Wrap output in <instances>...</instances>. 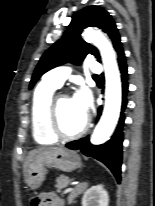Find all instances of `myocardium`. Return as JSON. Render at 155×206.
<instances>
[{
    "mask_svg": "<svg viewBox=\"0 0 155 206\" xmlns=\"http://www.w3.org/2000/svg\"><path fill=\"white\" fill-rule=\"evenodd\" d=\"M60 98H70L67 94L57 95L52 97L48 108V126L50 131L56 138L61 139H75L82 136L89 128V119L85 117L82 126L75 132L67 133L62 130L58 118V101Z\"/></svg>",
    "mask_w": 155,
    "mask_h": 206,
    "instance_id": "f54148a6",
    "label": "myocardium"
}]
</instances>
